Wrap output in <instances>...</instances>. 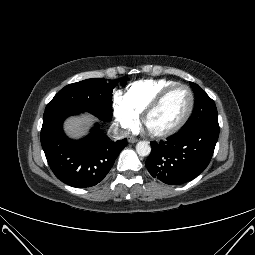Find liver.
Masks as SVG:
<instances>
[{
  "label": "liver",
  "instance_id": "obj_1",
  "mask_svg": "<svg viewBox=\"0 0 255 255\" xmlns=\"http://www.w3.org/2000/svg\"><path fill=\"white\" fill-rule=\"evenodd\" d=\"M92 121L93 116L89 114L81 117H71L65 122L64 129L70 137L80 138L87 133Z\"/></svg>",
  "mask_w": 255,
  "mask_h": 255
}]
</instances>
